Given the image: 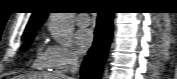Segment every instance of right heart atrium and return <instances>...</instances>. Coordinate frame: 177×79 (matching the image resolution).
Listing matches in <instances>:
<instances>
[{
  "instance_id": "1",
  "label": "right heart atrium",
  "mask_w": 177,
  "mask_h": 79,
  "mask_svg": "<svg viewBox=\"0 0 177 79\" xmlns=\"http://www.w3.org/2000/svg\"><path fill=\"white\" fill-rule=\"evenodd\" d=\"M45 53L48 66L59 72L67 71L79 61L77 52L66 46L50 45Z\"/></svg>"
}]
</instances>
